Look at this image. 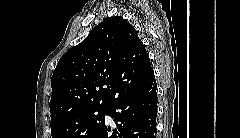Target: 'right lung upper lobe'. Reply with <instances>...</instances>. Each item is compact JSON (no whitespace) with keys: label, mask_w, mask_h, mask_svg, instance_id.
Returning <instances> with one entry per match:
<instances>
[{"label":"right lung upper lobe","mask_w":240,"mask_h":138,"mask_svg":"<svg viewBox=\"0 0 240 138\" xmlns=\"http://www.w3.org/2000/svg\"><path fill=\"white\" fill-rule=\"evenodd\" d=\"M153 74L135 28L120 16L108 17L60 58L51 78V123L108 107Z\"/></svg>","instance_id":"1"}]
</instances>
